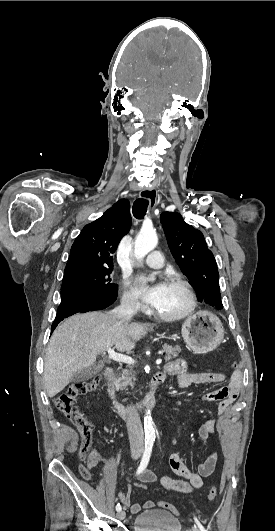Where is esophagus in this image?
Returning a JSON list of instances; mask_svg holds the SVG:
<instances>
[{
    "mask_svg": "<svg viewBox=\"0 0 275 531\" xmlns=\"http://www.w3.org/2000/svg\"><path fill=\"white\" fill-rule=\"evenodd\" d=\"M157 190L153 187H145L140 192V197L149 201L150 210H153L157 204Z\"/></svg>",
    "mask_w": 275,
    "mask_h": 531,
    "instance_id": "34e87169",
    "label": "esophagus"
}]
</instances>
